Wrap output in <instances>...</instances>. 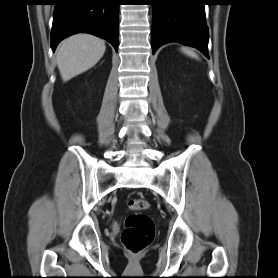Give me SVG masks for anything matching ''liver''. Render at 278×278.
<instances>
[{"label":"liver","instance_id":"liver-1","mask_svg":"<svg viewBox=\"0 0 278 278\" xmlns=\"http://www.w3.org/2000/svg\"><path fill=\"white\" fill-rule=\"evenodd\" d=\"M105 42L90 34L79 33L59 45L56 62L63 81L89 70L105 53Z\"/></svg>","mask_w":278,"mask_h":278}]
</instances>
